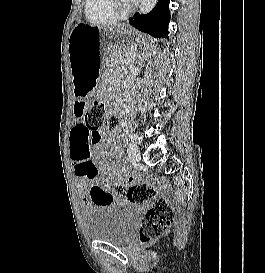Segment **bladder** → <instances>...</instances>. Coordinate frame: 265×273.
I'll list each match as a JSON object with an SVG mask.
<instances>
[{
    "mask_svg": "<svg viewBox=\"0 0 265 273\" xmlns=\"http://www.w3.org/2000/svg\"><path fill=\"white\" fill-rule=\"evenodd\" d=\"M138 209L130 204L97 205L82 215V226L89 240L125 244L134 235Z\"/></svg>",
    "mask_w": 265,
    "mask_h": 273,
    "instance_id": "bladder-1",
    "label": "bladder"
}]
</instances>
